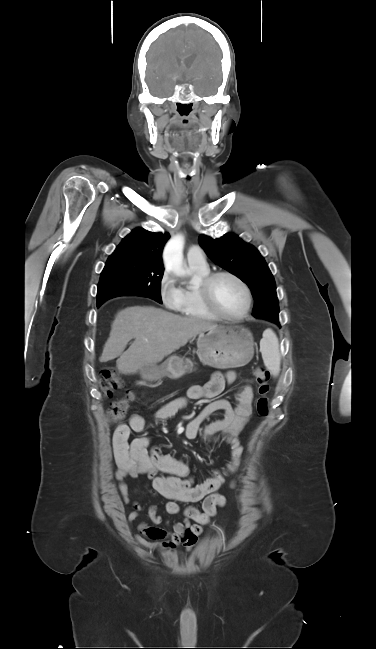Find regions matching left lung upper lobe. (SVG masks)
Listing matches in <instances>:
<instances>
[{
    "instance_id": "5c2ea615",
    "label": "left lung upper lobe",
    "mask_w": 376,
    "mask_h": 649,
    "mask_svg": "<svg viewBox=\"0 0 376 649\" xmlns=\"http://www.w3.org/2000/svg\"><path fill=\"white\" fill-rule=\"evenodd\" d=\"M199 243L214 263L249 286L255 299L252 315L278 324L274 277L259 251L234 234H225L218 239L200 235Z\"/></svg>"
}]
</instances>
